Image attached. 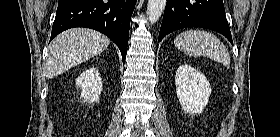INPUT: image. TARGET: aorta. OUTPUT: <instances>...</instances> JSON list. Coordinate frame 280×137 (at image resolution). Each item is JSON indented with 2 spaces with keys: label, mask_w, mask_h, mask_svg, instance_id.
<instances>
[{
  "label": "aorta",
  "mask_w": 280,
  "mask_h": 137,
  "mask_svg": "<svg viewBox=\"0 0 280 137\" xmlns=\"http://www.w3.org/2000/svg\"><path fill=\"white\" fill-rule=\"evenodd\" d=\"M166 0H148L147 16L151 24H154L165 9Z\"/></svg>",
  "instance_id": "obj_1"
}]
</instances>
